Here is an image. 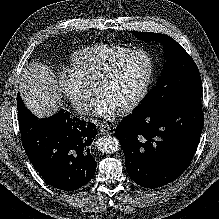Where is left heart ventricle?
<instances>
[{"label":"left heart ventricle","mask_w":219,"mask_h":219,"mask_svg":"<svg viewBox=\"0 0 219 219\" xmlns=\"http://www.w3.org/2000/svg\"><path fill=\"white\" fill-rule=\"evenodd\" d=\"M147 70V59L143 55H134L125 60L110 80L96 91L119 109L135 97Z\"/></svg>","instance_id":"left-heart-ventricle-1"}]
</instances>
